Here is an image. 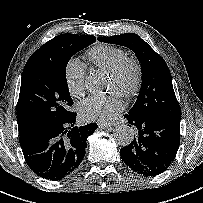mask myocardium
Returning <instances> with one entry per match:
<instances>
[{"label": "myocardium", "mask_w": 203, "mask_h": 203, "mask_svg": "<svg viewBox=\"0 0 203 203\" xmlns=\"http://www.w3.org/2000/svg\"><path fill=\"white\" fill-rule=\"evenodd\" d=\"M126 67H131L132 69V81L124 92L125 96L130 97L138 91L142 82V67L139 60L134 56L125 55L109 70V74L113 77Z\"/></svg>", "instance_id": "1"}]
</instances>
